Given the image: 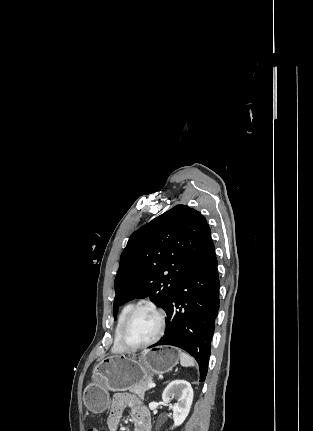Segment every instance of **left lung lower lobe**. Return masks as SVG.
Returning <instances> with one entry per match:
<instances>
[{
  "mask_svg": "<svg viewBox=\"0 0 313 431\" xmlns=\"http://www.w3.org/2000/svg\"><path fill=\"white\" fill-rule=\"evenodd\" d=\"M219 287L217 259L210 237L165 309L164 337L152 346L171 345L186 350L199 364L200 381L207 375L219 309Z\"/></svg>",
  "mask_w": 313,
  "mask_h": 431,
  "instance_id": "obj_1",
  "label": "left lung lower lobe"
}]
</instances>
